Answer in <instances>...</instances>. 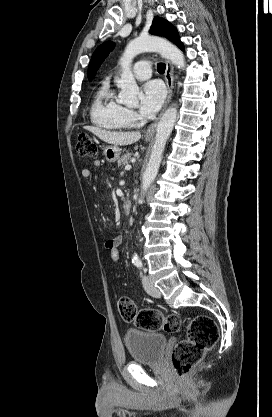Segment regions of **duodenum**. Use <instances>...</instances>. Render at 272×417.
<instances>
[{"mask_svg": "<svg viewBox=\"0 0 272 417\" xmlns=\"http://www.w3.org/2000/svg\"><path fill=\"white\" fill-rule=\"evenodd\" d=\"M132 203L129 199H125L122 204L124 213L128 214L131 211Z\"/></svg>", "mask_w": 272, "mask_h": 417, "instance_id": "410a0bca", "label": "duodenum"}]
</instances>
